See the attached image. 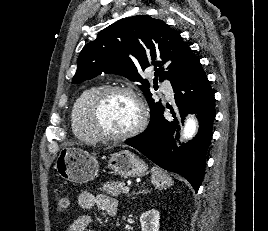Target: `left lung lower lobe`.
<instances>
[{"label": "left lung lower lobe", "mask_w": 268, "mask_h": 231, "mask_svg": "<svg viewBox=\"0 0 268 231\" xmlns=\"http://www.w3.org/2000/svg\"><path fill=\"white\" fill-rule=\"evenodd\" d=\"M177 117L167 120L162 111L147 129L126 144L136 148L165 170L185 177L197 192L205 172L207 149L212 137L215 118L214 93L199 59L188 70L171 82ZM188 113H196L199 130L193 140L177 146L180 124Z\"/></svg>", "instance_id": "0a47b994"}]
</instances>
